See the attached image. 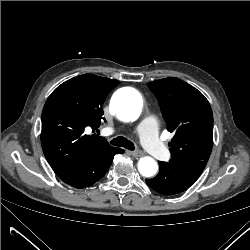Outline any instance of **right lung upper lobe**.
Masks as SVG:
<instances>
[{"mask_svg": "<svg viewBox=\"0 0 250 250\" xmlns=\"http://www.w3.org/2000/svg\"><path fill=\"white\" fill-rule=\"evenodd\" d=\"M117 80L84 74L58 86L42 111L41 143L44 155L54 171L78 167L98 152L110 149L94 131L103 118L102 105Z\"/></svg>", "mask_w": 250, "mask_h": 250, "instance_id": "1", "label": "right lung upper lobe"}]
</instances>
